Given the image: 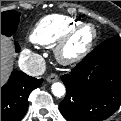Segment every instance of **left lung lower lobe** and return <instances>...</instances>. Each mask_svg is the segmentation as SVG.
<instances>
[{"mask_svg": "<svg viewBox=\"0 0 121 121\" xmlns=\"http://www.w3.org/2000/svg\"><path fill=\"white\" fill-rule=\"evenodd\" d=\"M59 105L68 121H102L121 105V38L99 44L69 74Z\"/></svg>", "mask_w": 121, "mask_h": 121, "instance_id": "left-lung-lower-lobe-1", "label": "left lung lower lobe"}]
</instances>
